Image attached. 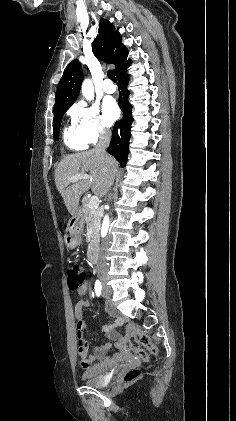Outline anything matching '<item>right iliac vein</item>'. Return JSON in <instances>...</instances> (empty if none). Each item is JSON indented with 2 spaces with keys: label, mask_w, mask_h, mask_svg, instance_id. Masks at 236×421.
<instances>
[{
  "label": "right iliac vein",
  "mask_w": 236,
  "mask_h": 421,
  "mask_svg": "<svg viewBox=\"0 0 236 421\" xmlns=\"http://www.w3.org/2000/svg\"><path fill=\"white\" fill-rule=\"evenodd\" d=\"M107 296H111L112 295V292L110 291V290H105V292H104Z\"/></svg>",
  "instance_id": "1"
}]
</instances>
